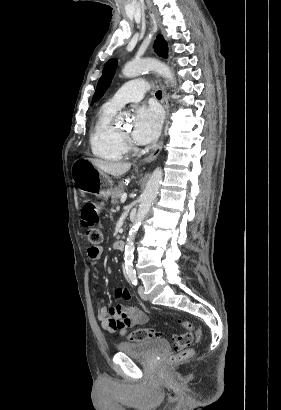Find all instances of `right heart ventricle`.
<instances>
[{
    "label": "right heart ventricle",
    "instance_id": "obj_1",
    "mask_svg": "<svg viewBox=\"0 0 281 410\" xmlns=\"http://www.w3.org/2000/svg\"><path fill=\"white\" fill-rule=\"evenodd\" d=\"M116 112L102 106L90 132V147L93 155L107 162L123 160L128 152L120 131L112 122Z\"/></svg>",
    "mask_w": 281,
    "mask_h": 410
}]
</instances>
